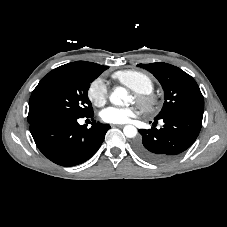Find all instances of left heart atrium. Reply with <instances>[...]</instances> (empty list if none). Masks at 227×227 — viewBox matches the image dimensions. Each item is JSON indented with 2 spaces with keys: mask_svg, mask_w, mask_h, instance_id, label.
I'll use <instances>...</instances> for the list:
<instances>
[{
  "mask_svg": "<svg viewBox=\"0 0 227 227\" xmlns=\"http://www.w3.org/2000/svg\"><path fill=\"white\" fill-rule=\"evenodd\" d=\"M137 115L134 107H108L101 112V119L106 123L123 124Z\"/></svg>",
  "mask_w": 227,
  "mask_h": 227,
  "instance_id": "1",
  "label": "left heart atrium"
}]
</instances>
